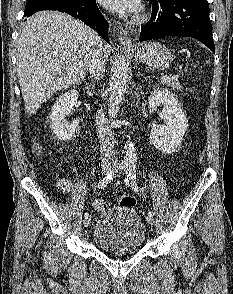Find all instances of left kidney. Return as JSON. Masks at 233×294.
<instances>
[{
  "mask_svg": "<svg viewBox=\"0 0 233 294\" xmlns=\"http://www.w3.org/2000/svg\"><path fill=\"white\" fill-rule=\"evenodd\" d=\"M160 105H163L160 117L164 123L152 125L150 141L156 149L171 154L181 145L188 120L174 95L166 89L157 88L149 96V111L153 113Z\"/></svg>",
  "mask_w": 233,
  "mask_h": 294,
  "instance_id": "obj_1",
  "label": "left kidney"
}]
</instances>
